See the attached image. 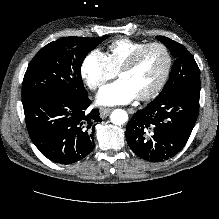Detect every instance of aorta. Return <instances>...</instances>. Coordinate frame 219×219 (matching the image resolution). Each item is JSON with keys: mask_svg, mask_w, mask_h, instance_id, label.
<instances>
[{"mask_svg": "<svg viewBox=\"0 0 219 219\" xmlns=\"http://www.w3.org/2000/svg\"><path fill=\"white\" fill-rule=\"evenodd\" d=\"M111 122L117 126H121L128 121V114L123 109H116L110 115Z\"/></svg>", "mask_w": 219, "mask_h": 219, "instance_id": "1", "label": "aorta"}]
</instances>
